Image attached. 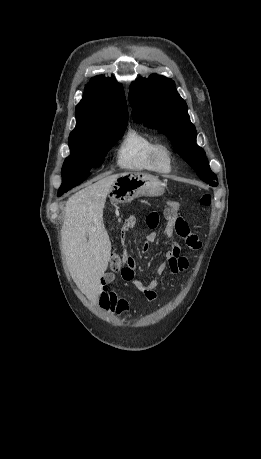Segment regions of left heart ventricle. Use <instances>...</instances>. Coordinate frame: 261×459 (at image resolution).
<instances>
[{
	"mask_svg": "<svg viewBox=\"0 0 261 459\" xmlns=\"http://www.w3.org/2000/svg\"><path fill=\"white\" fill-rule=\"evenodd\" d=\"M168 164H169L168 159L165 156H162L161 160H160L161 167L164 168V169H167L168 168Z\"/></svg>",
	"mask_w": 261,
	"mask_h": 459,
	"instance_id": "1",
	"label": "left heart ventricle"
}]
</instances>
